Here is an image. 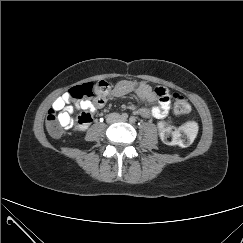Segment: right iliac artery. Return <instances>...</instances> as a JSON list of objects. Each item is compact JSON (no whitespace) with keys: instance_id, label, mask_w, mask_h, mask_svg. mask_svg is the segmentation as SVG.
I'll return each instance as SVG.
<instances>
[{"instance_id":"82829eb1","label":"right iliac artery","mask_w":243,"mask_h":243,"mask_svg":"<svg viewBox=\"0 0 243 243\" xmlns=\"http://www.w3.org/2000/svg\"><path fill=\"white\" fill-rule=\"evenodd\" d=\"M121 118L122 119H127L128 118V114L127 113H122Z\"/></svg>"}]
</instances>
